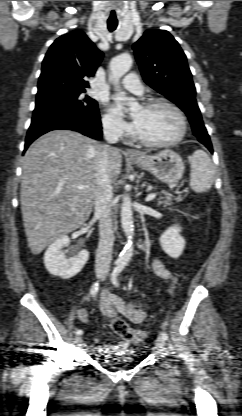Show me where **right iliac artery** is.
<instances>
[{
	"label": "right iliac artery",
	"mask_w": 242,
	"mask_h": 416,
	"mask_svg": "<svg viewBox=\"0 0 242 416\" xmlns=\"http://www.w3.org/2000/svg\"><path fill=\"white\" fill-rule=\"evenodd\" d=\"M98 290H99V284H98V282H96V283H94L93 285H92V287H91V289H90V294H91V296L92 297H96V295H97V293H98ZM83 333V331L81 330V329H77L76 330V334L77 335H81Z\"/></svg>",
	"instance_id": "obj_1"
}]
</instances>
